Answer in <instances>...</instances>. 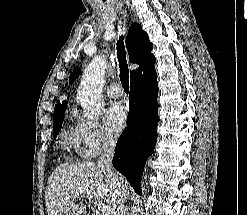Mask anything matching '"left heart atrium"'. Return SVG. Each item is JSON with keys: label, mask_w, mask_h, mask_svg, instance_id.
Returning <instances> with one entry per match:
<instances>
[{"label": "left heart atrium", "mask_w": 247, "mask_h": 215, "mask_svg": "<svg viewBox=\"0 0 247 215\" xmlns=\"http://www.w3.org/2000/svg\"><path fill=\"white\" fill-rule=\"evenodd\" d=\"M127 116V108L121 103H115L108 109L105 120L113 131L119 132L125 126Z\"/></svg>", "instance_id": "obj_1"}]
</instances>
